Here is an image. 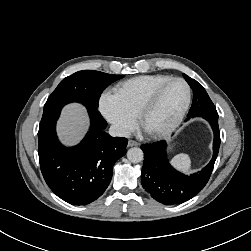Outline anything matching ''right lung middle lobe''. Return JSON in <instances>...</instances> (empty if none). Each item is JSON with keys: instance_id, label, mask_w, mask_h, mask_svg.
Instances as JSON below:
<instances>
[{"instance_id": "1", "label": "right lung middle lobe", "mask_w": 251, "mask_h": 251, "mask_svg": "<svg viewBox=\"0 0 251 251\" xmlns=\"http://www.w3.org/2000/svg\"><path fill=\"white\" fill-rule=\"evenodd\" d=\"M124 75L106 74L94 70H83L63 79L47 99L44 108L53 105L80 102L98 108L101 93L112 82Z\"/></svg>"}]
</instances>
